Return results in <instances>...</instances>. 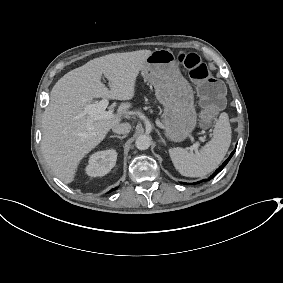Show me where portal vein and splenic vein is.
I'll list each match as a JSON object with an SVG mask.
<instances>
[{
	"instance_id": "1",
	"label": "portal vein and splenic vein",
	"mask_w": 283,
	"mask_h": 283,
	"mask_svg": "<svg viewBox=\"0 0 283 283\" xmlns=\"http://www.w3.org/2000/svg\"><path fill=\"white\" fill-rule=\"evenodd\" d=\"M109 101L107 99H103L98 103L95 104H87L84 107L83 112L78 116H88L87 118V126L91 129V124L96 120H104V119H112L114 118V114L110 111H105ZM200 146L199 142L194 143L192 146L189 147V150L198 152V147Z\"/></svg>"
}]
</instances>
